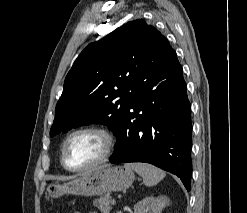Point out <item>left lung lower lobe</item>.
Segmentation results:
<instances>
[{
	"label": "left lung lower lobe",
	"instance_id": "left-lung-lower-lobe-1",
	"mask_svg": "<svg viewBox=\"0 0 247 213\" xmlns=\"http://www.w3.org/2000/svg\"><path fill=\"white\" fill-rule=\"evenodd\" d=\"M175 51L150 69L129 106L111 163L146 162L171 172L190 191L191 117Z\"/></svg>",
	"mask_w": 247,
	"mask_h": 213
}]
</instances>
